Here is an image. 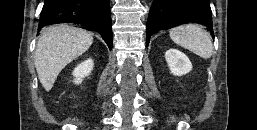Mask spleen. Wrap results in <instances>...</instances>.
I'll return each mask as SVG.
<instances>
[{"label": "spleen", "mask_w": 257, "mask_h": 130, "mask_svg": "<svg viewBox=\"0 0 257 130\" xmlns=\"http://www.w3.org/2000/svg\"><path fill=\"white\" fill-rule=\"evenodd\" d=\"M170 38L179 46L190 50L203 59L212 56L213 44L209 34L197 24H188L173 28Z\"/></svg>", "instance_id": "spleen-1"}]
</instances>
